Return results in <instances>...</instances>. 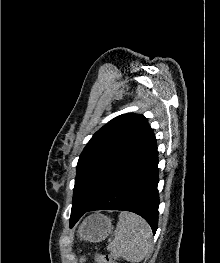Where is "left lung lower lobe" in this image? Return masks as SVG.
I'll list each match as a JSON object with an SVG mask.
<instances>
[{"label":"left lung lower lobe","mask_w":220,"mask_h":263,"mask_svg":"<svg viewBox=\"0 0 220 263\" xmlns=\"http://www.w3.org/2000/svg\"><path fill=\"white\" fill-rule=\"evenodd\" d=\"M158 151L156 141L139 156L87 209L72 210L70 227L86 212L94 210H124L142 216L157 230L159 196Z\"/></svg>","instance_id":"0a47b994"}]
</instances>
